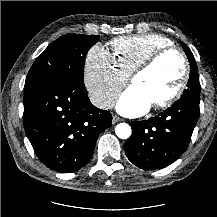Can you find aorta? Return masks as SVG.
Listing matches in <instances>:
<instances>
[{
    "label": "aorta",
    "mask_w": 217,
    "mask_h": 217,
    "mask_svg": "<svg viewBox=\"0 0 217 217\" xmlns=\"http://www.w3.org/2000/svg\"><path fill=\"white\" fill-rule=\"evenodd\" d=\"M115 133L117 137L121 139H127L131 136L132 130L131 127L126 123H120L115 128Z\"/></svg>",
    "instance_id": "1"
}]
</instances>
